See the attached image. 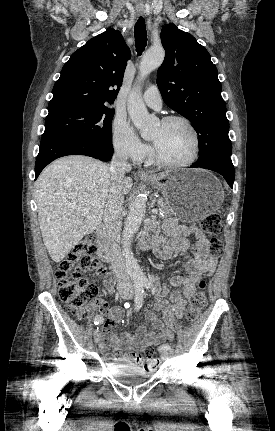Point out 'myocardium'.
I'll list each match as a JSON object with an SVG mask.
<instances>
[{"label":"myocardium","instance_id":"1","mask_svg":"<svg viewBox=\"0 0 275 431\" xmlns=\"http://www.w3.org/2000/svg\"><path fill=\"white\" fill-rule=\"evenodd\" d=\"M172 122H181L190 131V133L193 137V143H194L193 152H192L191 157L184 162L172 163V162L164 160L158 154L155 147L152 146L151 151H150L151 158L155 164H157L161 167H164V168H168V169H179V168L188 167V166L192 165L199 157V154H200V137H199V134H198L197 130L195 129V127L193 126V124L187 118H185L183 116H179V115L167 116V117H164L160 123L163 125H167V124L172 123Z\"/></svg>","mask_w":275,"mask_h":431}]
</instances>
